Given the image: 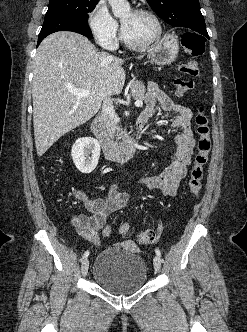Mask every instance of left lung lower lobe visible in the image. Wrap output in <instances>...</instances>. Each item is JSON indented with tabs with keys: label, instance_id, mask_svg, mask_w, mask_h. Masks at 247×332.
I'll list each match as a JSON object with an SVG mask.
<instances>
[{
	"label": "left lung lower lobe",
	"instance_id": "obj_1",
	"mask_svg": "<svg viewBox=\"0 0 247 332\" xmlns=\"http://www.w3.org/2000/svg\"><path fill=\"white\" fill-rule=\"evenodd\" d=\"M199 33L204 35L205 37L209 38L206 27L199 30Z\"/></svg>",
	"mask_w": 247,
	"mask_h": 332
}]
</instances>
